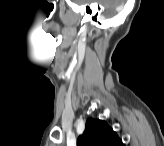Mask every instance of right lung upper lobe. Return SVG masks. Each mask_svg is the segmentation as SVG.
<instances>
[{"mask_svg":"<svg viewBox=\"0 0 164 146\" xmlns=\"http://www.w3.org/2000/svg\"><path fill=\"white\" fill-rule=\"evenodd\" d=\"M77 146H123V143L105 121L90 118Z\"/></svg>","mask_w":164,"mask_h":146,"instance_id":"right-lung-upper-lobe-1","label":"right lung upper lobe"}]
</instances>
